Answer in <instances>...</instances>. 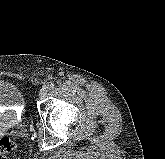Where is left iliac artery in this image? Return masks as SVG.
I'll list each match as a JSON object with an SVG mask.
<instances>
[{
	"mask_svg": "<svg viewBox=\"0 0 165 159\" xmlns=\"http://www.w3.org/2000/svg\"><path fill=\"white\" fill-rule=\"evenodd\" d=\"M48 88H49V89H54V88H55V84H54V83H50V84L48 85Z\"/></svg>",
	"mask_w": 165,
	"mask_h": 159,
	"instance_id": "1",
	"label": "left iliac artery"
}]
</instances>
